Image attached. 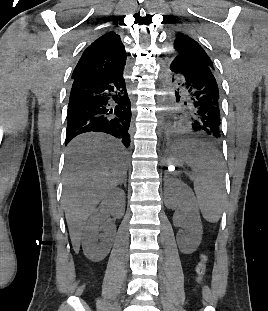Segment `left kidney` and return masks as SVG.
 <instances>
[{
  "label": "left kidney",
  "mask_w": 268,
  "mask_h": 311,
  "mask_svg": "<svg viewBox=\"0 0 268 311\" xmlns=\"http://www.w3.org/2000/svg\"><path fill=\"white\" fill-rule=\"evenodd\" d=\"M165 205L168 208L183 206V212L175 216V223L182 227L177 236L179 249L191 254L201 243L202 224L192 190L178 179L165 182Z\"/></svg>",
  "instance_id": "5707ae66"
}]
</instances>
